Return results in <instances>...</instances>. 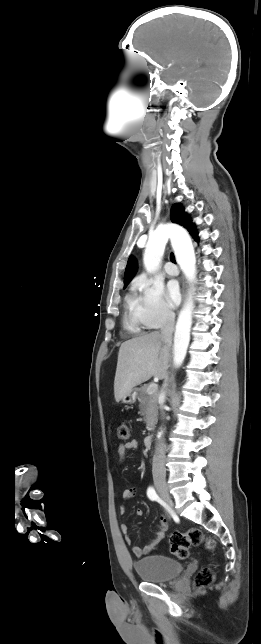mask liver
I'll list each match as a JSON object with an SVG mask.
<instances>
[{
    "label": "liver",
    "mask_w": 261,
    "mask_h": 644,
    "mask_svg": "<svg viewBox=\"0 0 261 644\" xmlns=\"http://www.w3.org/2000/svg\"><path fill=\"white\" fill-rule=\"evenodd\" d=\"M169 352L170 344L159 332L142 334L122 343L114 380L116 402L152 376L166 378Z\"/></svg>",
    "instance_id": "liver-1"
}]
</instances>
